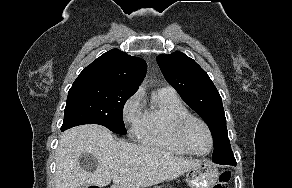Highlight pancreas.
Masks as SVG:
<instances>
[{
    "label": "pancreas",
    "instance_id": "cf45deb5",
    "mask_svg": "<svg viewBox=\"0 0 292 188\" xmlns=\"http://www.w3.org/2000/svg\"><path fill=\"white\" fill-rule=\"evenodd\" d=\"M154 188H162L161 186H156V187H154Z\"/></svg>",
    "mask_w": 292,
    "mask_h": 188
}]
</instances>
